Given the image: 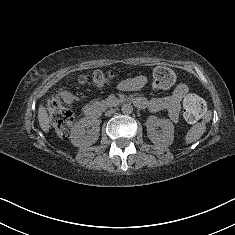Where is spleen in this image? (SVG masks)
Wrapping results in <instances>:
<instances>
[{"label": "spleen", "mask_w": 235, "mask_h": 235, "mask_svg": "<svg viewBox=\"0 0 235 235\" xmlns=\"http://www.w3.org/2000/svg\"><path fill=\"white\" fill-rule=\"evenodd\" d=\"M196 131H200V128L197 127V128H194V129L192 130V133L190 134V140H192L193 138H194V139L197 138V136H196V137H195V136L193 137V135H195Z\"/></svg>", "instance_id": "1"}]
</instances>
